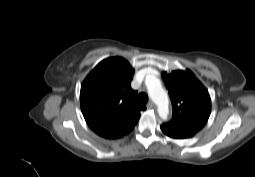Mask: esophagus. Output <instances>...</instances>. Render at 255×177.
<instances>
[{
    "label": "esophagus",
    "mask_w": 255,
    "mask_h": 177,
    "mask_svg": "<svg viewBox=\"0 0 255 177\" xmlns=\"http://www.w3.org/2000/svg\"><path fill=\"white\" fill-rule=\"evenodd\" d=\"M155 107L154 103L152 101H149L147 104L148 109H153Z\"/></svg>",
    "instance_id": "34e87169"
}]
</instances>
